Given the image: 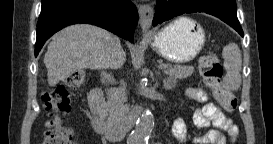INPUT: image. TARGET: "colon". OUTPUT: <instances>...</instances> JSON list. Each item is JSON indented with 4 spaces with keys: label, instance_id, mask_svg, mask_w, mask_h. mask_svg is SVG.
Masks as SVG:
<instances>
[{
    "label": "colon",
    "instance_id": "obj_1",
    "mask_svg": "<svg viewBox=\"0 0 273 144\" xmlns=\"http://www.w3.org/2000/svg\"><path fill=\"white\" fill-rule=\"evenodd\" d=\"M199 72L204 84L209 88L216 101L227 111L232 112L237 107L235 95L222 83L224 69L219 59L214 55L204 56L199 63ZM85 72L82 70L74 71L66 80L67 86L78 89L85 81ZM44 101L49 109L67 112L70 109V99L64 86H59L44 94ZM72 131L60 125L57 119L50 123V128L46 133L47 144H70Z\"/></svg>",
    "mask_w": 273,
    "mask_h": 144
}]
</instances>
